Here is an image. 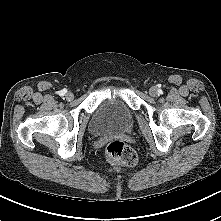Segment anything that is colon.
<instances>
[{
    "mask_svg": "<svg viewBox=\"0 0 221 221\" xmlns=\"http://www.w3.org/2000/svg\"><path fill=\"white\" fill-rule=\"evenodd\" d=\"M107 158L121 166L132 167L137 162L135 151L122 141H112L106 148Z\"/></svg>",
    "mask_w": 221,
    "mask_h": 221,
    "instance_id": "colon-1",
    "label": "colon"
}]
</instances>
